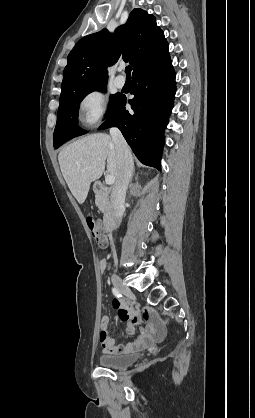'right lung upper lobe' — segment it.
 Wrapping results in <instances>:
<instances>
[{"instance_id": "1", "label": "right lung upper lobe", "mask_w": 255, "mask_h": 418, "mask_svg": "<svg viewBox=\"0 0 255 418\" xmlns=\"http://www.w3.org/2000/svg\"><path fill=\"white\" fill-rule=\"evenodd\" d=\"M121 56L133 66V75L169 56L164 33L152 14L136 8L113 34L103 29L79 40L68 55L61 93L106 83L107 66Z\"/></svg>"}]
</instances>
